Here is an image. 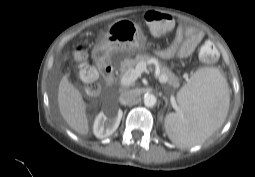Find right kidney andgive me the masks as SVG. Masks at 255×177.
<instances>
[{
    "instance_id": "1",
    "label": "right kidney",
    "mask_w": 255,
    "mask_h": 177,
    "mask_svg": "<svg viewBox=\"0 0 255 177\" xmlns=\"http://www.w3.org/2000/svg\"><path fill=\"white\" fill-rule=\"evenodd\" d=\"M123 112L119 109L109 115L100 112L95 118L93 132L97 138L103 139L112 135L118 128Z\"/></svg>"
}]
</instances>
